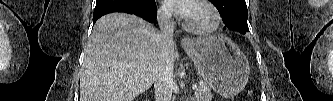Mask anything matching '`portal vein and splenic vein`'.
<instances>
[{
    "label": "portal vein and splenic vein",
    "instance_id": "18ae733b",
    "mask_svg": "<svg viewBox=\"0 0 333 101\" xmlns=\"http://www.w3.org/2000/svg\"><path fill=\"white\" fill-rule=\"evenodd\" d=\"M192 89H193V90H196V89H197V85L194 84V85L192 86Z\"/></svg>",
    "mask_w": 333,
    "mask_h": 101
}]
</instances>
